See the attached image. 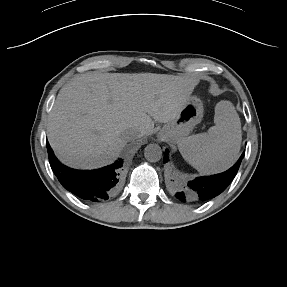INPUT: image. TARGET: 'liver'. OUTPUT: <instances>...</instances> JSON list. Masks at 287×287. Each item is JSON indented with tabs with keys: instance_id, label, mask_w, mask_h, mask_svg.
Returning a JSON list of instances; mask_svg holds the SVG:
<instances>
[{
	"instance_id": "liver-1",
	"label": "liver",
	"mask_w": 287,
	"mask_h": 287,
	"mask_svg": "<svg viewBox=\"0 0 287 287\" xmlns=\"http://www.w3.org/2000/svg\"><path fill=\"white\" fill-rule=\"evenodd\" d=\"M195 78L160 74L87 72L62 87L48 120L57 157L77 169L111 164L127 141L123 132L149 135L154 121L174 120L198 84Z\"/></svg>"
}]
</instances>
